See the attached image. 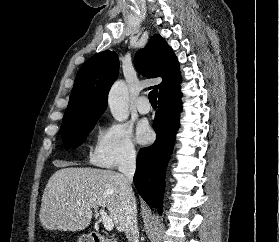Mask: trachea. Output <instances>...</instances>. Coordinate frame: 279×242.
<instances>
[{
  "label": "trachea",
  "instance_id": "obj_1",
  "mask_svg": "<svg viewBox=\"0 0 279 242\" xmlns=\"http://www.w3.org/2000/svg\"><path fill=\"white\" fill-rule=\"evenodd\" d=\"M157 95H158V90L156 89L149 92L148 98L151 105H157Z\"/></svg>",
  "mask_w": 279,
  "mask_h": 242
}]
</instances>
